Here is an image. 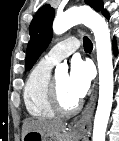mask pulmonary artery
<instances>
[{
  "label": "pulmonary artery",
  "mask_w": 119,
  "mask_h": 141,
  "mask_svg": "<svg viewBox=\"0 0 119 141\" xmlns=\"http://www.w3.org/2000/svg\"><path fill=\"white\" fill-rule=\"evenodd\" d=\"M80 46V41L74 37L64 39L57 43L43 58L50 64H57L70 56Z\"/></svg>",
  "instance_id": "e3ab8cb5"
}]
</instances>
